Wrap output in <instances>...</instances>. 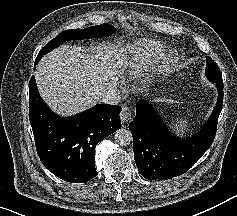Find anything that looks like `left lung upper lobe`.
Returning <instances> with one entry per match:
<instances>
[{"label": "left lung upper lobe", "instance_id": "1", "mask_svg": "<svg viewBox=\"0 0 237 216\" xmlns=\"http://www.w3.org/2000/svg\"><path fill=\"white\" fill-rule=\"evenodd\" d=\"M206 75L210 81L216 84L217 88H223L222 74L217 64L207 57Z\"/></svg>", "mask_w": 237, "mask_h": 216}]
</instances>
